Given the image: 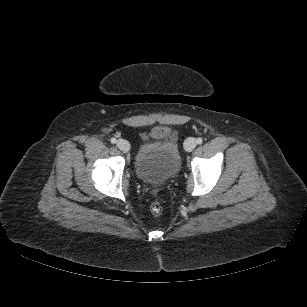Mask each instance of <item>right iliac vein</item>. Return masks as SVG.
Segmentation results:
<instances>
[{"label":"right iliac vein","mask_w":307,"mask_h":307,"mask_svg":"<svg viewBox=\"0 0 307 307\" xmlns=\"http://www.w3.org/2000/svg\"><path fill=\"white\" fill-rule=\"evenodd\" d=\"M117 147L123 152L127 153L130 150V144L123 139L118 140Z\"/></svg>","instance_id":"obj_1"}]
</instances>
